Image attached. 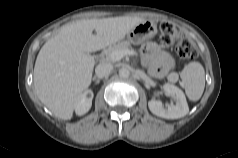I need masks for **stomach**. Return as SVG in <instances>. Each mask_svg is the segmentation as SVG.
I'll return each mask as SVG.
<instances>
[{"mask_svg": "<svg viewBox=\"0 0 238 158\" xmlns=\"http://www.w3.org/2000/svg\"><path fill=\"white\" fill-rule=\"evenodd\" d=\"M157 33L156 23L152 20H144L127 33V40L132 44H141Z\"/></svg>", "mask_w": 238, "mask_h": 158, "instance_id": "obj_1", "label": "stomach"}]
</instances>
